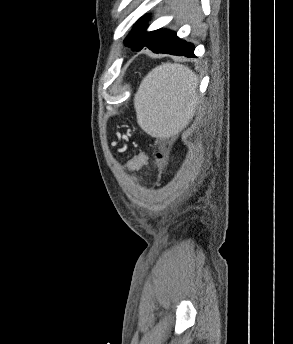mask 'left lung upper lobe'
Wrapping results in <instances>:
<instances>
[{
	"mask_svg": "<svg viewBox=\"0 0 293 344\" xmlns=\"http://www.w3.org/2000/svg\"><path fill=\"white\" fill-rule=\"evenodd\" d=\"M176 33L166 29H158L152 32H146V25L138 23L128 37L125 44L134 51L141 50L145 46L160 45L169 42Z\"/></svg>",
	"mask_w": 293,
	"mask_h": 344,
	"instance_id": "left-lung-upper-lobe-1",
	"label": "left lung upper lobe"
}]
</instances>
